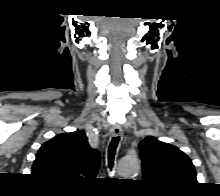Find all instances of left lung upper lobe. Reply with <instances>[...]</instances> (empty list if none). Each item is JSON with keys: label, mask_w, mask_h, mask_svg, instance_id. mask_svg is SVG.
I'll use <instances>...</instances> for the list:
<instances>
[{"label": "left lung upper lobe", "mask_w": 220, "mask_h": 196, "mask_svg": "<svg viewBox=\"0 0 220 196\" xmlns=\"http://www.w3.org/2000/svg\"><path fill=\"white\" fill-rule=\"evenodd\" d=\"M144 182L161 193H181L196 185V171L180 149L147 136L139 144Z\"/></svg>", "instance_id": "1"}]
</instances>
